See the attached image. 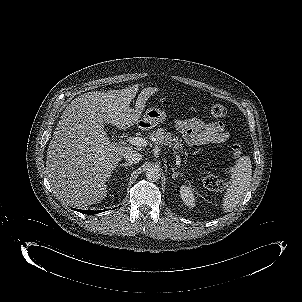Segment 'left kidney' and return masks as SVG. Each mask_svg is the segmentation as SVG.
I'll return each mask as SVG.
<instances>
[{
    "mask_svg": "<svg viewBox=\"0 0 302 302\" xmlns=\"http://www.w3.org/2000/svg\"><path fill=\"white\" fill-rule=\"evenodd\" d=\"M180 196L187 207L193 208L195 206L194 189L191 186L182 185L180 187Z\"/></svg>",
    "mask_w": 302,
    "mask_h": 302,
    "instance_id": "5707ae66",
    "label": "left kidney"
}]
</instances>
